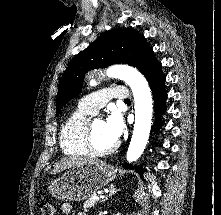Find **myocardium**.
<instances>
[{
  "mask_svg": "<svg viewBox=\"0 0 221 215\" xmlns=\"http://www.w3.org/2000/svg\"><path fill=\"white\" fill-rule=\"evenodd\" d=\"M85 145L89 153L97 155V156H104L113 153L118 148V143H114L112 146L100 149L98 148L93 139V127L92 121L87 123L86 132H85Z\"/></svg>",
  "mask_w": 221,
  "mask_h": 215,
  "instance_id": "f54148a6",
  "label": "myocardium"
}]
</instances>
